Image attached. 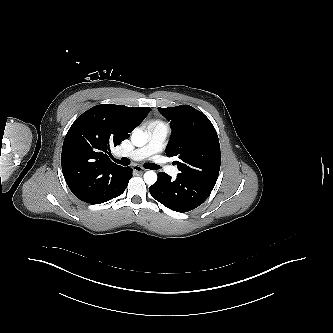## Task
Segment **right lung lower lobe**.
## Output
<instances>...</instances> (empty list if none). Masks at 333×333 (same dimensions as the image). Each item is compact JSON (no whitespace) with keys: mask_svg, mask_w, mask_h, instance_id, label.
I'll list each match as a JSON object with an SVG mask.
<instances>
[{"mask_svg":"<svg viewBox=\"0 0 333 333\" xmlns=\"http://www.w3.org/2000/svg\"><path fill=\"white\" fill-rule=\"evenodd\" d=\"M131 172L130 167H123L115 177L101 184L82 201L90 204H100L121 195L132 177Z\"/></svg>","mask_w":333,"mask_h":333,"instance_id":"right-lung-lower-lobe-1","label":"right lung lower lobe"}]
</instances>
